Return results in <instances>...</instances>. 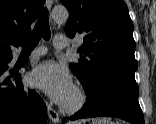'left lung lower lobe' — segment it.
Returning <instances> with one entry per match:
<instances>
[{
    "mask_svg": "<svg viewBox=\"0 0 156 124\" xmlns=\"http://www.w3.org/2000/svg\"><path fill=\"white\" fill-rule=\"evenodd\" d=\"M139 90L120 81L101 84L87 94L83 108L63 122L82 118L110 116L133 124H144V116L138 102Z\"/></svg>",
    "mask_w": 156,
    "mask_h": 124,
    "instance_id": "1",
    "label": "left lung lower lobe"
}]
</instances>
